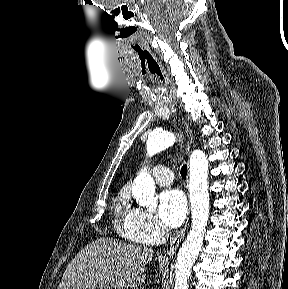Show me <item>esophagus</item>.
Instances as JSON below:
<instances>
[{"mask_svg": "<svg viewBox=\"0 0 288 289\" xmlns=\"http://www.w3.org/2000/svg\"><path fill=\"white\" fill-rule=\"evenodd\" d=\"M186 151H187V154L190 153V144H189V141H187V144H186ZM186 228H187V223L186 225L175 235V237L173 238V240L171 241L170 243V246L169 248L167 249V251L165 252L164 254V260H168L170 258H172L179 245H180V242L181 240L184 238V235H185V231H186Z\"/></svg>", "mask_w": 288, "mask_h": 289, "instance_id": "esophagus-1", "label": "esophagus"}]
</instances>
